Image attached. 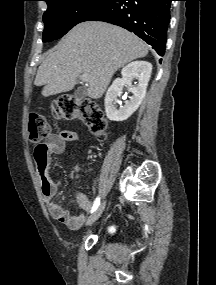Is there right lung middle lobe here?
<instances>
[{
	"label": "right lung middle lobe",
	"mask_w": 216,
	"mask_h": 285,
	"mask_svg": "<svg viewBox=\"0 0 216 285\" xmlns=\"http://www.w3.org/2000/svg\"><path fill=\"white\" fill-rule=\"evenodd\" d=\"M109 0H51L43 15V42L61 38L73 26L84 21L92 12Z\"/></svg>",
	"instance_id": "right-lung-middle-lobe-1"
}]
</instances>
